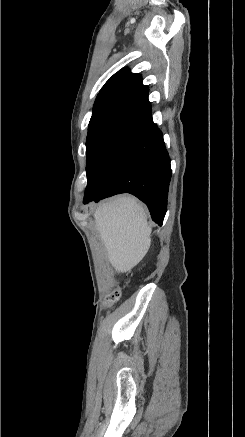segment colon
I'll return each mask as SVG.
<instances>
[{
    "label": "colon",
    "mask_w": 245,
    "mask_h": 437,
    "mask_svg": "<svg viewBox=\"0 0 245 437\" xmlns=\"http://www.w3.org/2000/svg\"><path fill=\"white\" fill-rule=\"evenodd\" d=\"M117 298H118V293L117 292H114V293H112L110 295V301L111 302H115L117 300Z\"/></svg>",
    "instance_id": "colon-1"
}]
</instances>
